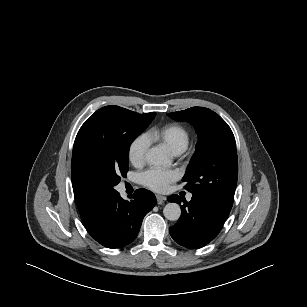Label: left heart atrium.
Wrapping results in <instances>:
<instances>
[{
  "label": "left heart atrium",
  "instance_id": "1",
  "mask_svg": "<svg viewBox=\"0 0 307 307\" xmlns=\"http://www.w3.org/2000/svg\"><path fill=\"white\" fill-rule=\"evenodd\" d=\"M178 178L177 171L160 168H150L140 175V181L144 186L158 192L165 191L169 184Z\"/></svg>",
  "mask_w": 307,
  "mask_h": 307
}]
</instances>
